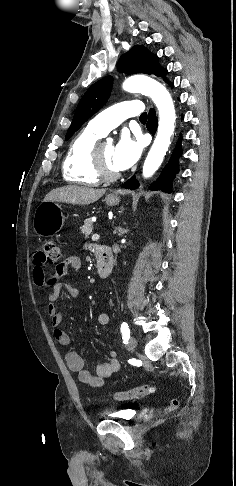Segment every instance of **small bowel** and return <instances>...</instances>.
Masks as SVG:
<instances>
[{
  "label": "small bowel",
  "instance_id": "small-bowel-1",
  "mask_svg": "<svg viewBox=\"0 0 236 486\" xmlns=\"http://www.w3.org/2000/svg\"><path fill=\"white\" fill-rule=\"evenodd\" d=\"M45 264L46 263L44 262L41 253L36 254L34 257L33 280L34 283L40 287L52 288L51 292L47 296V315L49 316L51 325L54 328L53 334L56 341L60 345L67 346L71 342V337L66 330L60 328L62 315L57 303L62 290H65L71 297L78 296L79 290L71 285L59 283L57 282V279L66 275L69 267L73 268L74 270H79L81 267V260L77 256H69L55 267V272L52 276L47 275L45 271ZM98 322L101 325L108 324L109 316L105 313L99 314ZM65 360L68 368L78 374L80 381L91 388L102 387L105 380L115 374L120 368L117 353L115 351L109 352L108 360L105 363L97 365L94 374L90 373L85 368L84 360L77 352H68L65 356Z\"/></svg>",
  "mask_w": 236,
  "mask_h": 486
}]
</instances>
